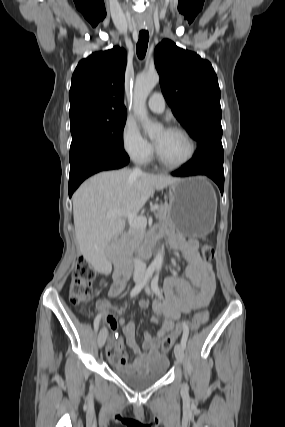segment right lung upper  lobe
Segmentation results:
<instances>
[{
  "label": "right lung upper lobe",
  "instance_id": "cb5924a9",
  "mask_svg": "<svg viewBox=\"0 0 285 427\" xmlns=\"http://www.w3.org/2000/svg\"><path fill=\"white\" fill-rule=\"evenodd\" d=\"M126 62V52L119 47L95 52L81 60L71 81L70 116L88 111L126 112L124 106Z\"/></svg>",
  "mask_w": 285,
  "mask_h": 427
}]
</instances>
